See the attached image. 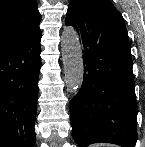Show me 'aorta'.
<instances>
[{"instance_id": "aorta-1", "label": "aorta", "mask_w": 145, "mask_h": 147, "mask_svg": "<svg viewBox=\"0 0 145 147\" xmlns=\"http://www.w3.org/2000/svg\"><path fill=\"white\" fill-rule=\"evenodd\" d=\"M61 52L67 89L76 94L83 82L84 65L79 35L74 28H64L61 35Z\"/></svg>"}]
</instances>
